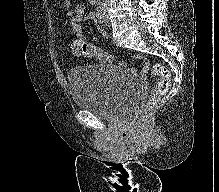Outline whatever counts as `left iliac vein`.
Masks as SVG:
<instances>
[{"instance_id":"left-iliac-vein-1","label":"left iliac vein","mask_w":219,"mask_h":192,"mask_svg":"<svg viewBox=\"0 0 219 192\" xmlns=\"http://www.w3.org/2000/svg\"><path fill=\"white\" fill-rule=\"evenodd\" d=\"M100 23H101L104 27H106V26L109 25V20H108V15H107L106 10L104 11V13H103V15H102V17H101V19H100Z\"/></svg>"}]
</instances>
